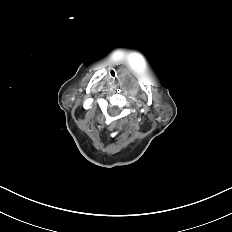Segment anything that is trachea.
Wrapping results in <instances>:
<instances>
[{
  "mask_svg": "<svg viewBox=\"0 0 232 232\" xmlns=\"http://www.w3.org/2000/svg\"><path fill=\"white\" fill-rule=\"evenodd\" d=\"M109 77L111 80H115L117 78V73L114 70H110Z\"/></svg>",
  "mask_w": 232,
  "mask_h": 232,
  "instance_id": "3493384b",
  "label": "trachea"
}]
</instances>
